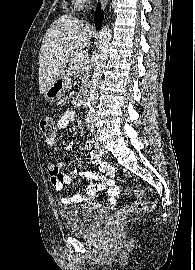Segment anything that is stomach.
I'll use <instances>...</instances> for the list:
<instances>
[{
  "instance_id": "0dacf381",
  "label": "stomach",
  "mask_w": 195,
  "mask_h": 270,
  "mask_svg": "<svg viewBox=\"0 0 195 270\" xmlns=\"http://www.w3.org/2000/svg\"><path fill=\"white\" fill-rule=\"evenodd\" d=\"M70 84V77L62 73L54 83L45 91L44 97L47 101H55L59 99L67 90Z\"/></svg>"
}]
</instances>
